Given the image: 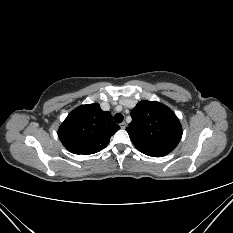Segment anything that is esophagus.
Returning a JSON list of instances; mask_svg holds the SVG:
<instances>
[{
  "label": "esophagus",
  "instance_id": "esophagus-1",
  "mask_svg": "<svg viewBox=\"0 0 233 233\" xmlns=\"http://www.w3.org/2000/svg\"><path fill=\"white\" fill-rule=\"evenodd\" d=\"M126 126H127L126 122H122V123H120V127H121V129H125V128H126Z\"/></svg>",
  "mask_w": 233,
  "mask_h": 233
}]
</instances>
